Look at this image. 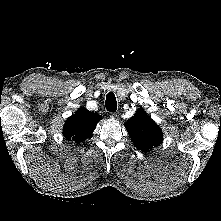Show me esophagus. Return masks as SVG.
Listing matches in <instances>:
<instances>
[{"label": "esophagus", "mask_w": 221, "mask_h": 221, "mask_svg": "<svg viewBox=\"0 0 221 221\" xmlns=\"http://www.w3.org/2000/svg\"><path fill=\"white\" fill-rule=\"evenodd\" d=\"M110 118L117 120L119 118V113L118 112H112L110 113Z\"/></svg>", "instance_id": "1"}]
</instances>
